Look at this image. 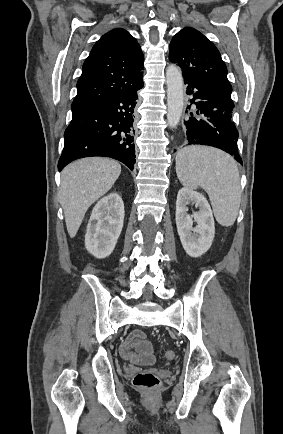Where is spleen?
Wrapping results in <instances>:
<instances>
[{"label": "spleen", "mask_w": 283, "mask_h": 434, "mask_svg": "<svg viewBox=\"0 0 283 434\" xmlns=\"http://www.w3.org/2000/svg\"><path fill=\"white\" fill-rule=\"evenodd\" d=\"M176 173L183 186L202 187L219 224H234L241 200L240 175L235 160L221 150L189 146L176 156Z\"/></svg>", "instance_id": "spleen-1"}]
</instances>
